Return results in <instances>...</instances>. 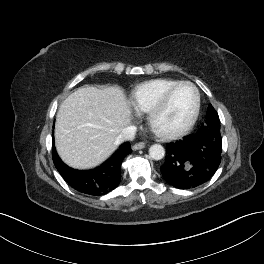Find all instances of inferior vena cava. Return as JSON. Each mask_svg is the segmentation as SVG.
<instances>
[{
	"instance_id": "1",
	"label": "inferior vena cava",
	"mask_w": 264,
	"mask_h": 264,
	"mask_svg": "<svg viewBox=\"0 0 264 264\" xmlns=\"http://www.w3.org/2000/svg\"><path fill=\"white\" fill-rule=\"evenodd\" d=\"M136 127L134 125L127 126L116 137L115 144L119 145L125 141H132L135 137Z\"/></svg>"
}]
</instances>
